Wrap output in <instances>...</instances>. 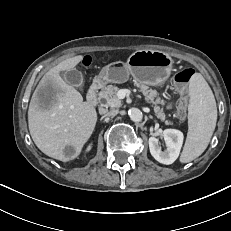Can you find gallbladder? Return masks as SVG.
Returning <instances> with one entry per match:
<instances>
[{
	"instance_id": "gallbladder-1",
	"label": "gallbladder",
	"mask_w": 231,
	"mask_h": 231,
	"mask_svg": "<svg viewBox=\"0 0 231 231\" xmlns=\"http://www.w3.org/2000/svg\"><path fill=\"white\" fill-rule=\"evenodd\" d=\"M63 77L66 83L75 87H79L83 83V76L81 72L76 69L64 72Z\"/></svg>"
}]
</instances>
